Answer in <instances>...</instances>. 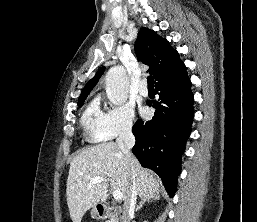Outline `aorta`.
I'll use <instances>...</instances> for the list:
<instances>
[{"instance_id": "1", "label": "aorta", "mask_w": 257, "mask_h": 222, "mask_svg": "<svg viewBox=\"0 0 257 222\" xmlns=\"http://www.w3.org/2000/svg\"><path fill=\"white\" fill-rule=\"evenodd\" d=\"M106 93L113 105H122L128 98L129 84L126 70L123 66H115L109 69L105 77Z\"/></svg>"}]
</instances>
